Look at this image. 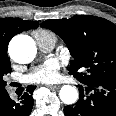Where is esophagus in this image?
<instances>
[{
	"label": "esophagus",
	"mask_w": 116,
	"mask_h": 116,
	"mask_svg": "<svg viewBox=\"0 0 116 116\" xmlns=\"http://www.w3.org/2000/svg\"><path fill=\"white\" fill-rule=\"evenodd\" d=\"M47 87L50 88V89L55 90V89H59L60 85H48Z\"/></svg>",
	"instance_id": "obj_1"
}]
</instances>
